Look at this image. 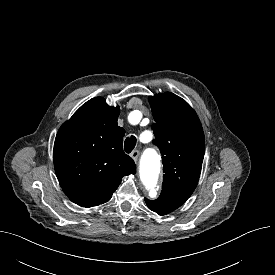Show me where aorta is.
Instances as JSON below:
<instances>
[{
	"label": "aorta",
	"mask_w": 275,
	"mask_h": 275,
	"mask_svg": "<svg viewBox=\"0 0 275 275\" xmlns=\"http://www.w3.org/2000/svg\"><path fill=\"white\" fill-rule=\"evenodd\" d=\"M160 169L159 158L153 151L149 152L142 164V181L149 193L154 198L157 195L156 183Z\"/></svg>",
	"instance_id": "762f6f07"
}]
</instances>
